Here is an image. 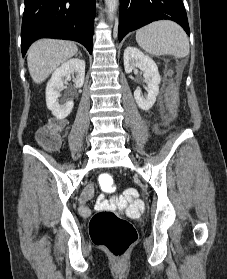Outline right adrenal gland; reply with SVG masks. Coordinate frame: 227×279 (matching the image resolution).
<instances>
[{"instance_id": "1", "label": "right adrenal gland", "mask_w": 227, "mask_h": 279, "mask_svg": "<svg viewBox=\"0 0 227 279\" xmlns=\"http://www.w3.org/2000/svg\"><path fill=\"white\" fill-rule=\"evenodd\" d=\"M78 54H79L80 56H82V53H81V52H79Z\"/></svg>"}]
</instances>
